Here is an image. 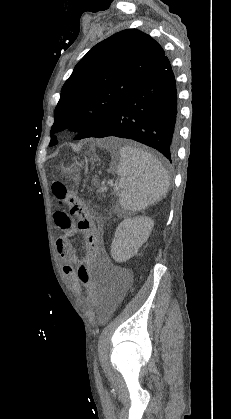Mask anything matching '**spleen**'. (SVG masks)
<instances>
[{
	"mask_svg": "<svg viewBox=\"0 0 231 419\" xmlns=\"http://www.w3.org/2000/svg\"><path fill=\"white\" fill-rule=\"evenodd\" d=\"M119 155V202L125 211H143L165 197L170 185L169 176L152 154L123 146Z\"/></svg>",
	"mask_w": 231,
	"mask_h": 419,
	"instance_id": "spleen-1",
	"label": "spleen"
}]
</instances>
